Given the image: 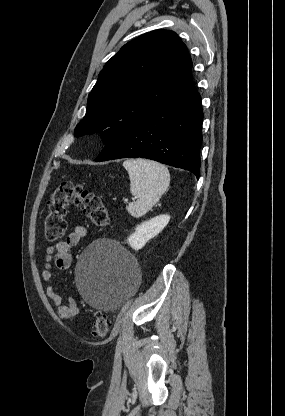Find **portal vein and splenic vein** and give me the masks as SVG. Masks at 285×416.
<instances>
[{
    "label": "portal vein and splenic vein",
    "mask_w": 285,
    "mask_h": 416,
    "mask_svg": "<svg viewBox=\"0 0 285 416\" xmlns=\"http://www.w3.org/2000/svg\"><path fill=\"white\" fill-rule=\"evenodd\" d=\"M132 200H136V198H132Z\"/></svg>",
    "instance_id": "portal-vein-and-splenic-vein-1"
}]
</instances>
